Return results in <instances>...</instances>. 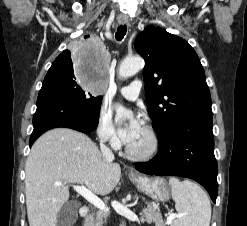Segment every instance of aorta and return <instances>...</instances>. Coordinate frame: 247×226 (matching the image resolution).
Returning a JSON list of instances; mask_svg holds the SVG:
<instances>
[{
	"mask_svg": "<svg viewBox=\"0 0 247 226\" xmlns=\"http://www.w3.org/2000/svg\"><path fill=\"white\" fill-rule=\"evenodd\" d=\"M144 66V61L140 57H133L125 59L119 67V76L121 78H128L135 75ZM131 116V112L125 109L123 106L116 108V117L119 119L128 118ZM121 226H125L122 224Z\"/></svg>",
	"mask_w": 247,
	"mask_h": 226,
	"instance_id": "1",
	"label": "aorta"
}]
</instances>
